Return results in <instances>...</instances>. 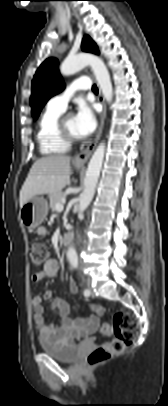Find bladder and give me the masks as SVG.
I'll return each instance as SVG.
<instances>
[{
	"label": "bladder",
	"mask_w": 168,
	"mask_h": 406,
	"mask_svg": "<svg viewBox=\"0 0 168 406\" xmlns=\"http://www.w3.org/2000/svg\"><path fill=\"white\" fill-rule=\"evenodd\" d=\"M40 346L47 355L63 363H73L81 355V349L76 345H58L41 339Z\"/></svg>",
	"instance_id": "1"
}]
</instances>
